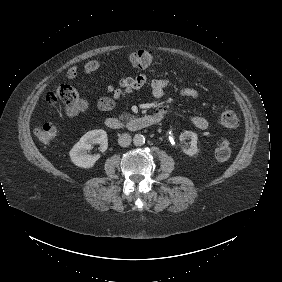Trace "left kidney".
Here are the masks:
<instances>
[{
    "mask_svg": "<svg viewBox=\"0 0 282 282\" xmlns=\"http://www.w3.org/2000/svg\"><path fill=\"white\" fill-rule=\"evenodd\" d=\"M188 137L190 139V148L189 149H185L184 153L189 156V157H193L197 154L198 152V147H197V143H198V136L196 133L191 132V131H184L180 134L179 136V140L181 142L184 141V139Z\"/></svg>",
    "mask_w": 282,
    "mask_h": 282,
    "instance_id": "obj_1",
    "label": "left kidney"
}]
</instances>
